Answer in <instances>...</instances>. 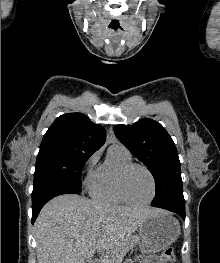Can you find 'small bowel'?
Instances as JSON below:
<instances>
[{
	"instance_id": "obj_1",
	"label": "small bowel",
	"mask_w": 220,
	"mask_h": 263,
	"mask_svg": "<svg viewBox=\"0 0 220 263\" xmlns=\"http://www.w3.org/2000/svg\"><path fill=\"white\" fill-rule=\"evenodd\" d=\"M144 263H165L159 256H150L148 257Z\"/></svg>"
}]
</instances>
